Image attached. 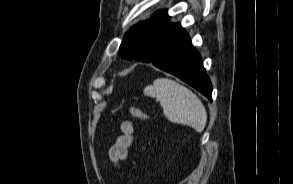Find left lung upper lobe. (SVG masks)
<instances>
[{"instance_id":"left-lung-upper-lobe-1","label":"left lung upper lobe","mask_w":293,"mask_h":184,"mask_svg":"<svg viewBox=\"0 0 293 184\" xmlns=\"http://www.w3.org/2000/svg\"><path fill=\"white\" fill-rule=\"evenodd\" d=\"M169 17L165 10L156 11L151 19L139 22L132 26L124 35L119 48V54L125 59H136L138 61H146L151 57L150 51L147 50L151 39L162 33Z\"/></svg>"}]
</instances>
